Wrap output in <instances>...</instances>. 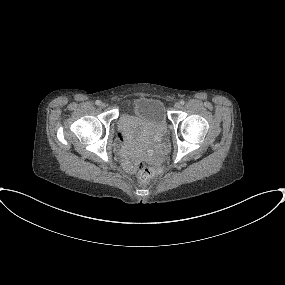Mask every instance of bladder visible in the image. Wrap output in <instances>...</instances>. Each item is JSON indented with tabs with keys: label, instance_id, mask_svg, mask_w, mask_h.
I'll return each instance as SVG.
<instances>
[{
	"label": "bladder",
	"instance_id": "obj_1",
	"mask_svg": "<svg viewBox=\"0 0 285 285\" xmlns=\"http://www.w3.org/2000/svg\"><path fill=\"white\" fill-rule=\"evenodd\" d=\"M115 123V139L130 152L148 146L159 150L166 143L165 110L156 98L136 99L131 111L120 114Z\"/></svg>",
	"mask_w": 285,
	"mask_h": 285
}]
</instances>
